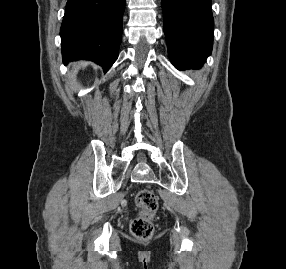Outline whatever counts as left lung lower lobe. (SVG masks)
<instances>
[{
	"label": "left lung lower lobe",
	"mask_w": 286,
	"mask_h": 269,
	"mask_svg": "<svg viewBox=\"0 0 286 269\" xmlns=\"http://www.w3.org/2000/svg\"><path fill=\"white\" fill-rule=\"evenodd\" d=\"M164 32L172 63L201 66L212 51L211 0H161Z\"/></svg>",
	"instance_id": "0a47b994"
}]
</instances>
